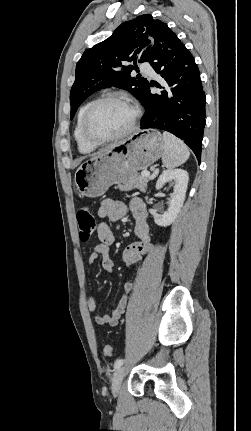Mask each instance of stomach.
Segmentation results:
<instances>
[{"label":"stomach","instance_id":"obj_1","mask_svg":"<svg viewBox=\"0 0 251 431\" xmlns=\"http://www.w3.org/2000/svg\"><path fill=\"white\" fill-rule=\"evenodd\" d=\"M164 152L162 135L157 130L134 133L102 155L92 157L75 172L78 192L86 197L102 196L113 184H121L140 170H146Z\"/></svg>","mask_w":251,"mask_h":431}]
</instances>
